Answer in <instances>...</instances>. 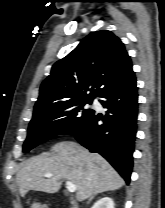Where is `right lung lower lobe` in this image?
<instances>
[{"instance_id": "98d812e1", "label": "right lung lower lobe", "mask_w": 165, "mask_h": 208, "mask_svg": "<svg viewBox=\"0 0 165 208\" xmlns=\"http://www.w3.org/2000/svg\"><path fill=\"white\" fill-rule=\"evenodd\" d=\"M100 97L103 99L100 100L101 104L108 109L106 118L93 111L73 134L84 147L101 154L129 184L138 114L134 72ZM100 120L104 123L98 124Z\"/></svg>"}]
</instances>
